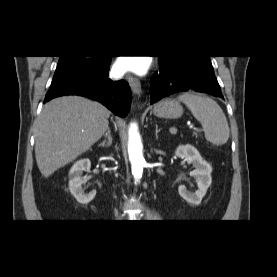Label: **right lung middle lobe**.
<instances>
[{
  "label": "right lung middle lobe",
  "instance_id": "1",
  "mask_svg": "<svg viewBox=\"0 0 277 277\" xmlns=\"http://www.w3.org/2000/svg\"><path fill=\"white\" fill-rule=\"evenodd\" d=\"M107 59L108 57L105 56H60L51 87L89 73L102 65Z\"/></svg>",
  "mask_w": 277,
  "mask_h": 277
}]
</instances>
